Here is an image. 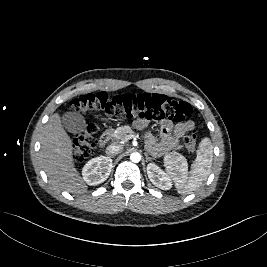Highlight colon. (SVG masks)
Returning <instances> with one entry per match:
<instances>
[{"label":"colon","mask_w":267,"mask_h":267,"mask_svg":"<svg viewBox=\"0 0 267 267\" xmlns=\"http://www.w3.org/2000/svg\"><path fill=\"white\" fill-rule=\"evenodd\" d=\"M70 108L84 114L103 113L108 116L124 117L132 120H170L184 121L193 116L192 106L166 95L156 93L123 94L110 97L106 93L86 94L74 99ZM97 128L89 124L73 143L76 160L87 158L96 146ZM184 144L190 153L196 148V134L193 129L184 138Z\"/></svg>","instance_id":"obj_1"}]
</instances>
